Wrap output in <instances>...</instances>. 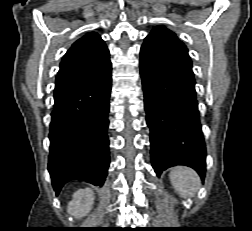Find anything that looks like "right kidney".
Listing matches in <instances>:
<instances>
[{
  "label": "right kidney",
  "mask_w": 252,
  "mask_h": 231,
  "mask_svg": "<svg viewBox=\"0 0 252 231\" xmlns=\"http://www.w3.org/2000/svg\"><path fill=\"white\" fill-rule=\"evenodd\" d=\"M94 204V192L91 188L80 189L73 194L69 202L67 212L75 218H81L88 214Z\"/></svg>",
  "instance_id": "obj_1"
}]
</instances>
